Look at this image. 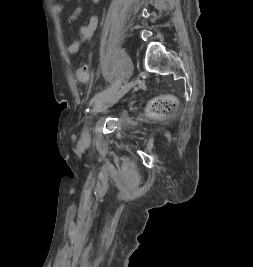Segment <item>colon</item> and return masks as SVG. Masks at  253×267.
Returning <instances> with one entry per match:
<instances>
[{"label":"colon","mask_w":253,"mask_h":267,"mask_svg":"<svg viewBox=\"0 0 253 267\" xmlns=\"http://www.w3.org/2000/svg\"><path fill=\"white\" fill-rule=\"evenodd\" d=\"M76 78L78 81H86L88 79L87 67L84 64H80L76 69ZM177 107V100L172 96H164L153 100L149 109L156 115L168 114L175 110Z\"/></svg>","instance_id":"5ec220e1"}]
</instances>
